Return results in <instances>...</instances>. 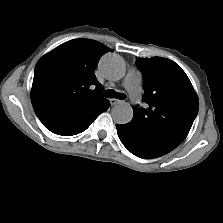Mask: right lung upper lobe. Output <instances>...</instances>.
<instances>
[{
	"label": "right lung upper lobe",
	"instance_id": "cb5924a9",
	"mask_svg": "<svg viewBox=\"0 0 223 223\" xmlns=\"http://www.w3.org/2000/svg\"><path fill=\"white\" fill-rule=\"evenodd\" d=\"M105 45L74 39L61 44L37 63L31 90L33 108L51 132L70 136L83 132L110 103L94 70Z\"/></svg>",
	"mask_w": 223,
	"mask_h": 223
}]
</instances>
